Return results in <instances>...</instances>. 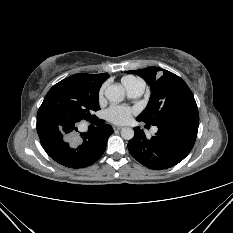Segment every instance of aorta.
I'll return each mask as SVG.
<instances>
[{"label":"aorta","mask_w":233,"mask_h":233,"mask_svg":"<svg viewBox=\"0 0 233 233\" xmlns=\"http://www.w3.org/2000/svg\"><path fill=\"white\" fill-rule=\"evenodd\" d=\"M105 97L112 103H119L124 100L125 91L120 85H110L105 89ZM121 137L131 140L134 137V130L130 127L122 128Z\"/></svg>","instance_id":"762f6f07"}]
</instances>
